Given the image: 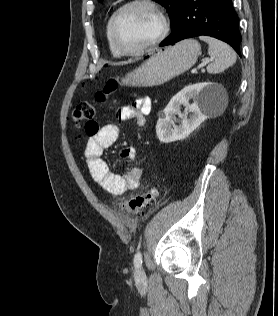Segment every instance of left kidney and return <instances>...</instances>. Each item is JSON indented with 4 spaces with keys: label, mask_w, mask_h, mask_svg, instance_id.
Masks as SVG:
<instances>
[{
    "label": "left kidney",
    "mask_w": 278,
    "mask_h": 316,
    "mask_svg": "<svg viewBox=\"0 0 278 316\" xmlns=\"http://www.w3.org/2000/svg\"><path fill=\"white\" fill-rule=\"evenodd\" d=\"M225 96V89L215 82H203L188 85L177 93L164 109V114L156 125L158 139L162 143H170L188 137L199 125L204 122L211 111L215 109ZM194 100L189 104L190 99ZM181 105L192 112L187 117L180 112ZM182 119V125L175 126V115Z\"/></svg>",
    "instance_id": "1"
}]
</instances>
